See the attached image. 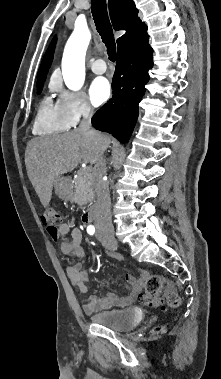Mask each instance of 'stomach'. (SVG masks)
<instances>
[{
  "mask_svg": "<svg viewBox=\"0 0 221 379\" xmlns=\"http://www.w3.org/2000/svg\"><path fill=\"white\" fill-rule=\"evenodd\" d=\"M54 188H55V192L56 194L62 198V199H70L71 198V188H70V183H69V180L64 177V176H58L56 179H55V182H54Z\"/></svg>",
  "mask_w": 221,
  "mask_h": 379,
  "instance_id": "obj_1",
  "label": "stomach"
}]
</instances>
